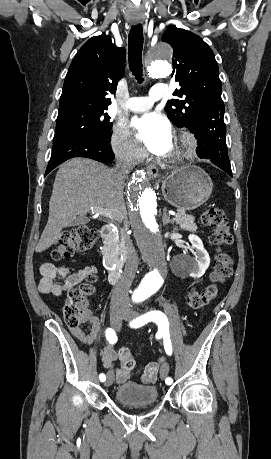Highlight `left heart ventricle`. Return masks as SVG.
I'll list each match as a JSON object with an SVG mask.
<instances>
[{
    "label": "left heart ventricle",
    "mask_w": 271,
    "mask_h": 459,
    "mask_svg": "<svg viewBox=\"0 0 271 459\" xmlns=\"http://www.w3.org/2000/svg\"><path fill=\"white\" fill-rule=\"evenodd\" d=\"M171 148V141L167 143V145L163 148V150L160 152V154L166 153L170 150Z\"/></svg>",
    "instance_id": "1"
}]
</instances>
